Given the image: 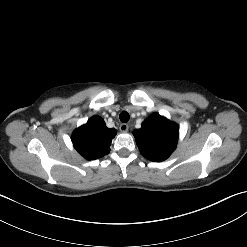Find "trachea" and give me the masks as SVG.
I'll return each mask as SVG.
<instances>
[{"instance_id":"obj_1","label":"trachea","mask_w":247,"mask_h":247,"mask_svg":"<svg viewBox=\"0 0 247 247\" xmlns=\"http://www.w3.org/2000/svg\"><path fill=\"white\" fill-rule=\"evenodd\" d=\"M119 118H120V120H121L123 123H126V122H128L130 116H129L128 112L122 111V112L120 113V115H119Z\"/></svg>"}]
</instances>
